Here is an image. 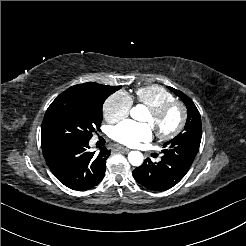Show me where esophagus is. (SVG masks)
Here are the masks:
<instances>
[{"label":"esophagus","mask_w":246,"mask_h":246,"mask_svg":"<svg viewBox=\"0 0 246 246\" xmlns=\"http://www.w3.org/2000/svg\"><path fill=\"white\" fill-rule=\"evenodd\" d=\"M116 151L122 152V153H128L130 151V149L126 148V147H117Z\"/></svg>","instance_id":"1"}]
</instances>
